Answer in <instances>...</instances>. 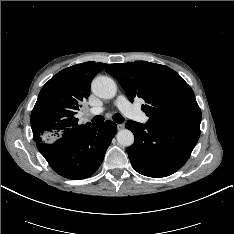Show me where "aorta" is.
Segmentation results:
<instances>
[{
	"label": "aorta",
	"mask_w": 234,
	"mask_h": 234,
	"mask_svg": "<svg viewBox=\"0 0 234 234\" xmlns=\"http://www.w3.org/2000/svg\"><path fill=\"white\" fill-rule=\"evenodd\" d=\"M92 91L103 99H112L117 93V85L113 79L107 76L96 77L92 82ZM117 141L121 146L129 147L134 143V135L128 129L117 133Z\"/></svg>",
	"instance_id": "762f6f07"
}]
</instances>
